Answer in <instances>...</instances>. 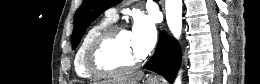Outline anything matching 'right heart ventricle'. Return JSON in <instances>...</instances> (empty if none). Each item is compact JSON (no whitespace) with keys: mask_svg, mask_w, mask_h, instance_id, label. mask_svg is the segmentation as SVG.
I'll return each mask as SVG.
<instances>
[{"mask_svg":"<svg viewBox=\"0 0 260 84\" xmlns=\"http://www.w3.org/2000/svg\"><path fill=\"white\" fill-rule=\"evenodd\" d=\"M111 25V20L106 16L95 23L89 28V30L84 35L75 55V71L77 75L83 79H97L98 77L91 74L87 69V55L90 44L93 39L106 27Z\"/></svg>","mask_w":260,"mask_h":84,"instance_id":"e07e8e85","label":"right heart ventricle"}]
</instances>
